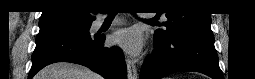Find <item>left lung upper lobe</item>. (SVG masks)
I'll return each instance as SVG.
<instances>
[{
    "mask_svg": "<svg viewBox=\"0 0 255 79\" xmlns=\"http://www.w3.org/2000/svg\"><path fill=\"white\" fill-rule=\"evenodd\" d=\"M159 8L166 10L167 22L163 25L167 30H156L154 39L160 42H166L175 35L186 31H211L210 14L200 11L182 12L180 11V3L172 0L159 1Z\"/></svg>",
    "mask_w": 255,
    "mask_h": 79,
    "instance_id": "1",
    "label": "left lung upper lobe"
}]
</instances>
